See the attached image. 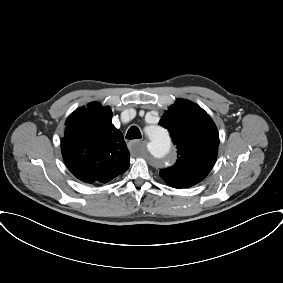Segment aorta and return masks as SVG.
I'll list each match as a JSON object with an SVG mask.
<instances>
[{
  "label": "aorta",
  "instance_id": "obj_1",
  "mask_svg": "<svg viewBox=\"0 0 283 283\" xmlns=\"http://www.w3.org/2000/svg\"><path fill=\"white\" fill-rule=\"evenodd\" d=\"M148 136L149 143L147 144V149L150 155L160 163L165 164L171 149V141L168 133L159 126H152Z\"/></svg>",
  "mask_w": 283,
  "mask_h": 283
}]
</instances>
